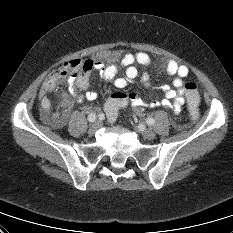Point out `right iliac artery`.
Masks as SVG:
<instances>
[{"label": "right iliac artery", "instance_id": "1", "mask_svg": "<svg viewBox=\"0 0 233 233\" xmlns=\"http://www.w3.org/2000/svg\"><path fill=\"white\" fill-rule=\"evenodd\" d=\"M95 118H96V114H95V113H91V114H89V116H88V121H89V122H94V121H95Z\"/></svg>", "mask_w": 233, "mask_h": 233}]
</instances>
